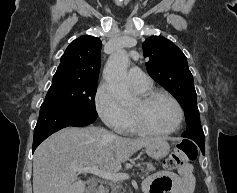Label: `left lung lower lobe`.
<instances>
[{"label": "left lung lower lobe", "instance_id": "left-lung-lower-lobe-1", "mask_svg": "<svg viewBox=\"0 0 237 193\" xmlns=\"http://www.w3.org/2000/svg\"><path fill=\"white\" fill-rule=\"evenodd\" d=\"M200 149H201V151H202V154L204 155V154H205V146H204V147H203V146H202V147L200 146Z\"/></svg>", "mask_w": 237, "mask_h": 193}]
</instances>
